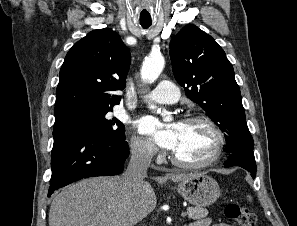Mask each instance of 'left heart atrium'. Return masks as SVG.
Wrapping results in <instances>:
<instances>
[{
	"label": "left heart atrium",
	"instance_id": "obj_1",
	"mask_svg": "<svg viewBox=\"0 0 297 226\" xmlns=\"http://www.w3.org/2000/svg\"><path fill=\"white\" fill-rule=\"evenodd\" d=\"M179 123L161 128L157 119L146 116L137 123L139 131L150 136L160 147L173 150L177 143Z\"/></svg>",
	"mask_w": 297,
	"mask_h": 226
}]
</instances>
